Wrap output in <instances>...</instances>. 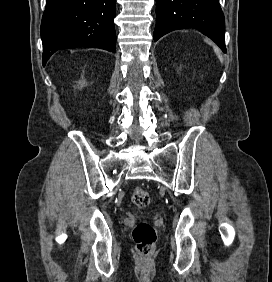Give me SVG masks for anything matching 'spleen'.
Returning <instances> with one entry per match:
<instances>
[{
  "mask_svg": "<svg viewBox=\"0 0 272 282\" xmlns=\"http://www.w3.org/2000/svg\"><path fill=\"white\" fill-rule=\"evenodd\" d=\"M205 41H206L208 44L212 45V43H211L210 41H208V40H206V39H205ZM213 48H214V51H215L216 55L218 56V58H219L220 60H222V56H221V53H220L219 48L216 47L215 45H213Z\"/></svg>",
  "mask_w": 272,
  "mask_h": 282,
  "instance_id": "spleen-1",
  "label": "spleen"
}]
</instances>
